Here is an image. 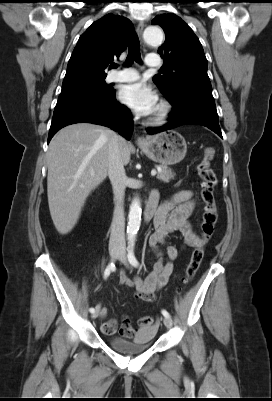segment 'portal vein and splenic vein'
<instances>
[{"instance_id":"18ae733b","label":"portal vein and splenic vein","mask_w":272,"mask_h":401,"mask_svg":"<svg viewBox=\"0 0 272 401\" xmlns=\"http://www.w3.org/2000/svg\"><path fill=\"white\" fill-rule=\"evenodd\" d=\"M157 174L156 170L151 171V176H155Z\"/></svg>"}]
</instances>
